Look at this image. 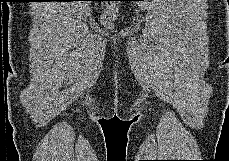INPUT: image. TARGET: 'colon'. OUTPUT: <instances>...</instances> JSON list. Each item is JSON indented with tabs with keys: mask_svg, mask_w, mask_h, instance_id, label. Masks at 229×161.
<instances>
[{
	"mask_svg": "<svg viewBox=\"0 0 229 161\" xmlns=\"http://www.w3.org/2000/svg\"><path fill=\"white\" fill-rule=\"evenodd\" d=\"M117 15L118 4L116 1H110V3L107 4L106 10L102 13L100 21L106 28H112Z\"/></svg>",
	"mask_w": 229,
	"mask_h": 161,
	"instance_id": "1",
	"label": "colon"
}]
</instances>
